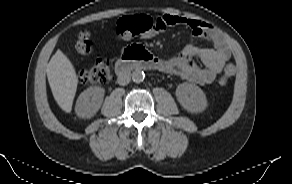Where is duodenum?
<instances>
[{"instance_id": "410a0bca", "label": "duodenum", "mask_w": 292, "mask_h": 184, "mask_svg": "<svg viewBox=\"0 0 292 184\" xmlns=\"http://www.w3.org/2000/svg\"><path fill=\"white\" fill-rule=\"evenodd\" d=\"M131 68L139 70H163L164 61L146 51L143 47L134 46L124 52L115 65V72L123 76Z\"/></svg>"}]
</instances>
